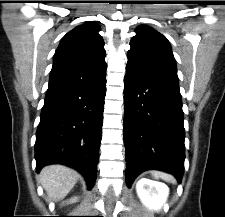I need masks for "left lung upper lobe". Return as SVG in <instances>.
<instances>
[{"mask_svg":"<svg viewBox=\"0 0 225 217\" xmlns=\"http://www.w3.org/2000/svg\"><path fill=\"white\" fill-rule=\"evenodd\" d=\"M130 42L126 69L151 78H160L178 84L176 62L170 43L161 33L142 25L136 28Z\"/></svg>","mask_w":225,"mask_h":217,"instance_id":"left-lung-upper-lobe-1","label":"left lung upper lobe"}]
</instances>
